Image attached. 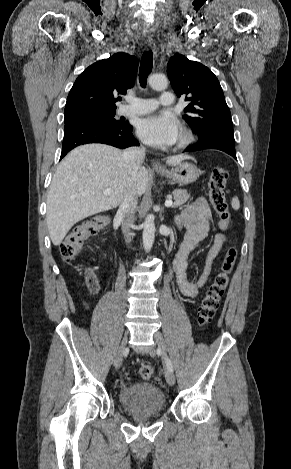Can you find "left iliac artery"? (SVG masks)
I'll use <instances>...</instances> for the list:
<instances>
[{
    "label": "left iliac artery",
    "mask_w": 291,
    "mask_h": 469,
    "mask_svg": "<svg viewBox=\"0 0 291 469\" xmlns=\"http://www.w3.org/2000/svg\"><path fill=\"white\" fill-rule=\"evenodd\" d=\"M166 361H167L169 368L173 371V365L168 357L166 358Z\"/></svg>",
    "instance_id": "obj_1"
}]
</instances>
